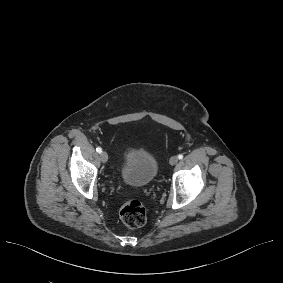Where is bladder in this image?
Segmentation results:
<instances>
[{"mask_svg":"<svg viewBox=\"0 0 283 283\" xmlns=\"http://www.w3.org/2000/svg\"><path fill=\"white\" fill-rule=\"evenodd\" d=\"M129 166L122 174L123 182L136 186L145 187L153 181L159 168V162L155 156L142 149H137L128 157Z\"/></svg>","mask_w":283,"mask_h":283,"instance_id":"1","label":"bladder"}]
</instances>
